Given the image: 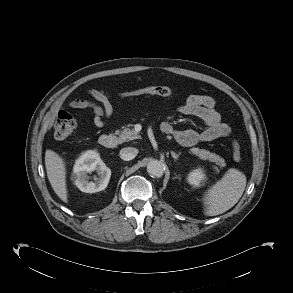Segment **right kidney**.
<instances>
[{"label": "right kidney", "mask_w": 293, "mask_h": 293, "mask_svg": "<svg viewBox=\"0 0 293 293\" xmlns=\"http://www.w3.org/2000/svg\"><path fill=\"white\" fill-rule=\"evenodd\" d=\"M96 171L98 177L89 181L88 173ZM111 170L94 150L83 153L75 162L72 174L74 184L85 193H96L104 190L110 180Z\"/></svg>", "instance_id": "right-kidney-1"}]
</instances>
